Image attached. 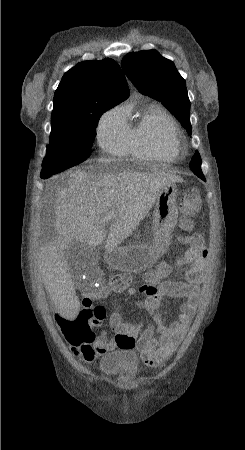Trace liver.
<instances>
[{"label":"liver","instance_id":"obj_1","mask_svg":"<svg viewBox=\"0 0 245 450\" xmlns=\"http://www.w3.org/2000/svg\"><path fill=\"white\" fill-rule=\"evenodd\" d=\"M176 182L183 179L163 172L79 170L70 174L66 187L57 189L58 239L40 249L39 268L45 289L63 316L74 318L80 308L65 258L67 247L79 241L96 249L105 240V249L118 246L149 213L160 190ZM109 212L113 221L107 235L100 221Z\"/></svg>","mask_w":245,"mask_h":450}]
</instances>
